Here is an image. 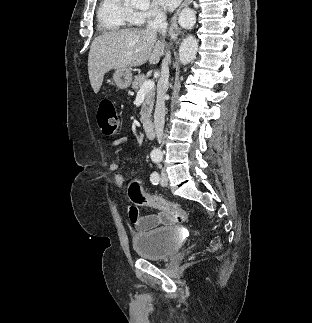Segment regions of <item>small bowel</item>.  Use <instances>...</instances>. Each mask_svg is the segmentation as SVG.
Returning <instances> with one entry per match:
<instances>
[{
  "mask_svg": "<svg viewBox=\"0 0 312 323\" xmlns=\"http://www.w3.org/2000/svg\"><path fill=\"white\" fill-rule=\"evenodd\" d=\"M128 142V137L123 136L120 137L112 142L113 147H119L124 145ZM109 170L114 172V182L119 186L123 187L124 185V178L122 175L118 174L119 164L116 161H113L109 164ZM129 216V215H128ZM129 219L135 229L138 231H148L150 229L156 228L162 225H172L174 222L173 217L170 214L158 212V213H151L147 215H140L137 211L136 216H129Z\"/></svg>",
  "mask_w": 312,
  "mask_h": 323,
  "instance_id": "small-bowel-1",
  "label": "small bowel"
}]
</instances>
